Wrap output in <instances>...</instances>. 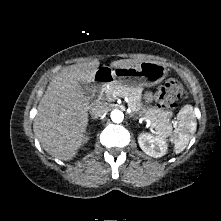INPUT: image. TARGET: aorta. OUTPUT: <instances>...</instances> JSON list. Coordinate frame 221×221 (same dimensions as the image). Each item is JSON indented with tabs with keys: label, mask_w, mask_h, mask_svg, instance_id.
<instances>
[{
	"label": "aorta",
	"mask_w": 221,
	"mask_h": 221,
	"mask_svg": "<svg viewBox=\"0 0 221 221\" xmlns=\"http://www.w3.org/2000/svg\"><path fill=\"white\" fill-rule=\"evenodd\" d=\"M110 117L114 123H121L124 119V114L122 111L118 109H114L111 111Z\"/></svg>",
	"instance_id": "762f6f07"
}]
</instances>
